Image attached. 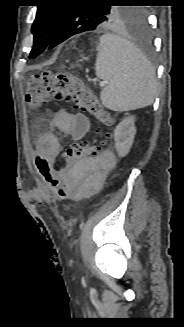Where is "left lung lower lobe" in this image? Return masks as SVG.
<instances>
[{
  "instance_id": "0a47b994",
  "label": "left lung lower lobe",
  "mask_w": 184,
  "mask_h": 327,
  "mask_svg": "<svg viewBox=\"0 0 184 327\" xmlns=\"http://www.w3.org/2000/svg\"><path fill=\"white\" fill-rule=\"evenodd\" d=\"M74 30H66L64 26H60L50 42L48 49L55 47L61 42L65 41L69 37L78 34ZM133 38L137 48L140 52L151 55L154 51L153 39L151 35V28L146 18L140 22L137 26L133 27Z\"/></svg>"
}]
</instances>
